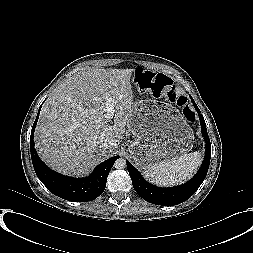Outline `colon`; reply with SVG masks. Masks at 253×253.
Returning a JSON list of instances; mask_svg holds the SVG:
<instances>
[{
    "label": "colon",
    "mask_w": 253,
    "mask_h": 253,
    "mask_svg": "<svg viewBox=\"0 0 253 253\" xmlns=\"http://www.w3.org/2000/svg\"><path fill=\"white\" fill-rule=\"evenodd\" d=\"M138 79L146 80L150 86L149 95L155 99H165L174 108L183 109L186 118L193 119V113L189 109L186 96L173 86L171 80L160 73H151L143 69L136 70Z\"/></svg>",
    "instance_id": "obj_1"
}]
</instances>
